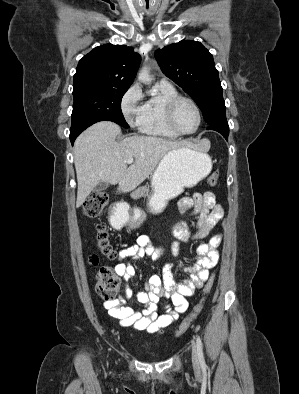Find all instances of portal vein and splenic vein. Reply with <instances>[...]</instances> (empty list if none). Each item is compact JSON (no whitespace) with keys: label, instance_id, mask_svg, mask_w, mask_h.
Wrapping results in <instances>:
<instances>
[{"label":"portal vein and splenic vein","instance_id":"obj_1","mask_svg":"<svg viewBox=\"0 0 299 394\" xmlns=\"http://www.w3.org/2000/svg\"><path fill=\"white\" fill-rule=\"evenodd\" d=\"M127 164H132L134 162L133 158H129L125 161Z\"/></svg>","mask_w":299,"mask_h":394}]
</instances>
